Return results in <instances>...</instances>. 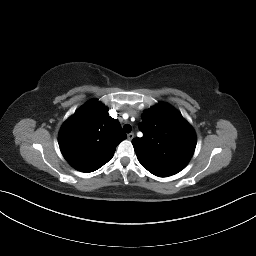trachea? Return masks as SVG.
I'll return each instance as SVG.
<instances>
[{
  "label": "trachea",
  "instance_id": "3493384b",
  "mask_svg": "<svg viewBox=\"0 0 256 256\" xmlns=\"http://www.w3.org/2000/svg\"><path fill=\"white\" fill-rule=\"evenodd\" d=\"M132 130V127L129 125V124H125L123 126V131L126 132V133H130Z\"/></svg>",
  "mask_w": 256,
  "mask_h": 256
}]
</instances>
